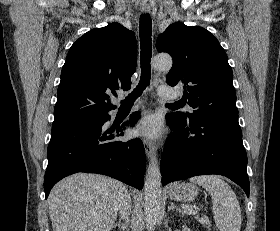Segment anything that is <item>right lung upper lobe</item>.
Returning <instances> with one entry per match:
<instances>
[{
	"label": "right lung upper lobe",
	"mask_w": 280,
	"mask_h": 231,
	"mask_svg": "<svg viewBox=\"0 0 280 231\" xmlns=\"http://www.w3.org/2000/svg\"><path fill=\"white\" fill-rule=\"evenodd\" d=\"M136 64L135 35L121 24L114 22L85 33L71 46L62 68L53 124L114 109L106 91L129 90Z\"/></svg>",
	"instance_id": "obj_1"
}]
</instances>
